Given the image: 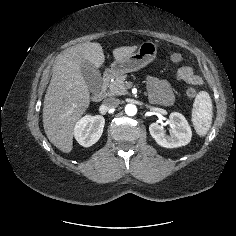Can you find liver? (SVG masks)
<instances>
[{
    "label": "liver",
    "instance_id": "1",
    "mask_svg": "<svg viewBox=\"0 0 236 236\" xmlns=\"http://www.w3.org/2000/svg\"><path fill=\"white\" fill-rule=\"evenodd\" d=\"M137 46L113 50L115 59L133 54ZM88 61L99 68L105 61L101 44L85 42L58 56L43 105V126L49 141L64 153L73 148L74 127L90 104V92L81 73Z\"/></svg>",
    "mask_w": 236,
    "mask_h": 236
}]
</instances>
